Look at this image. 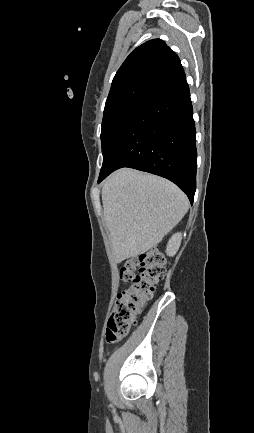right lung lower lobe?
<instances>
[{
	"mask_svg": "<svg viewBox=\"0 0 254 433\" xmlns=\"http://www.w3.org/2000/svg\"><path fill=\"white\" fill-rule=\"evenodd\" d=\"M189 87L184 72L160 88L119 134L98 182L130 167L174 182L191 204L196 190L197 150Z\"/></svg>",
	"mask_w": 254,
	"mask_h": 433,
	"instance_id": "obj_1",
	"label": "right lung lower lobe"
}]
</instances>
